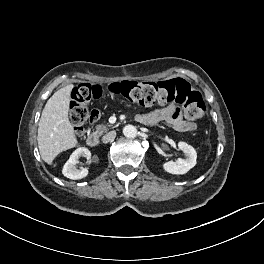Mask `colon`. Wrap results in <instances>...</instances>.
I'll return each mask as SVG.
<instances>
[{"instance_id":"5ec220e1","label":"colon","mask_w":264,"mask_h":264,"mask_svg":"<svg viewBox=\"0 0 264 264\" xmlns=\"http://www.w3.org/2000/svg\"><path fill=\"white\" fill-rule=\"evenodd\" d=\"M105 93L123 97L140 106L174 102L183 107L184 114L189 119L201 118L206 111L201 93L181 78L160 82L119 81L106 89L98 85L81 84L73 90L70 104V118L79 135L83 133L87 122L97 119V114L90 112L89 104Z\"/></svg>"}]
</instances>
